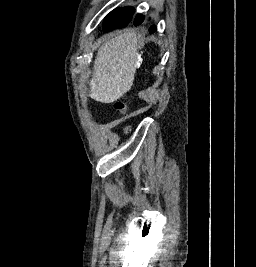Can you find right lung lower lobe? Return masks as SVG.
<instances>
[{"label": "right lung lower lobe", "mask_w": 256, "mask_h": 267, "mask_svg": "<svg viewBox=\"0 0 256 267\" xmlns=\"http://www.w3.org/2000/svg\"><path fill=\"white\" fill-rule=\"evenodd\" d=\"M133 14H134V12H133ZM133 14H132L129 18L123 20V21H122L120 24H118L116 27H118V28H123V27H126V26H128V25L138 26V25L143 24V22H144V16H142V15H137V16L133 19V18H132ZM155 31H156V27H155V26H151V27L149 28V32H150V33H154Z\"/></svg>", "instance_id": "98d812e1"}]
</instances>
